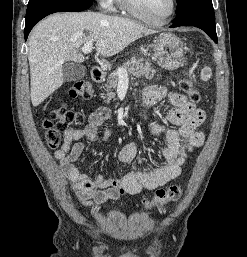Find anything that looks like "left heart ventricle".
<instances>
[{
    "instance_id": "left-heart-ventricle-1",
    "label": "left heart ventricle",
    "mask_w": 247,
    "mask_h": 257,
    "mask_svg": "<svg viewBox=\"0 0 247 257\" xmlns=\"http://www.w3.org/2000/svg\"><path fill=\"white\" fill-rule=\"evenodd\" d=\"M138 9L152 19H162L170 10L171 0H134Z\"/></svg>"
}]
</instances>
